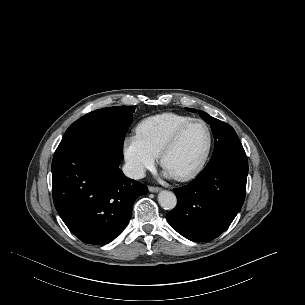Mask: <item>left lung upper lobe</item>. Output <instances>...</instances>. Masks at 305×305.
<instances>
[{
  "label": "left lung upper lobe",
  "instance_id": "left-lung-upper-lobe-1",
  "mask_svg": "<svg viewBox=\"0 0 305 305\" xmlns=\"http://www.w3.org/2000/svg\"><path fill=\"white\" fill-rule=\"evenodd\" d=\"M186 110L196 112V109L186 108ZM199 114L208 124L211 125L215 139L214 151L209 162H213L231 152L244 151L235 130L230 125L210 116L201 110H199Z\"/></svg>",
  "mask_w": 305,
  "mask_h": 305
}]
</instances>
